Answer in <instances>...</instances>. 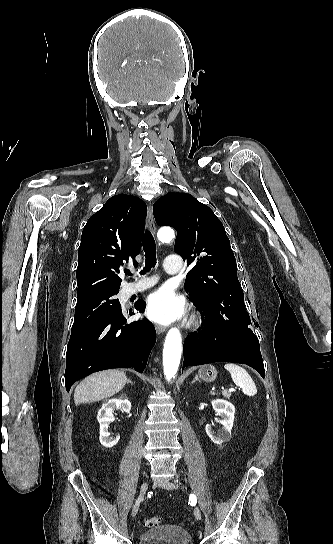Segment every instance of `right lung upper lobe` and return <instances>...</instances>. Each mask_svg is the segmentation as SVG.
<instances>
[{
  "label": "right lung upper lobe",
  "instance_id": "cb5924a9",
  "mask_svg": "<svg viewBox=\"0 0 333 544\" xmlns=\"http://www.w3.org/2000/svg\"><path fill=\"white\" fill-rule=\"evenodd\" d=\"M147 207L132 195H116L93 214L85 225L78 251L77 300L119 291L123 260L140 252Z\"/></svg>",
  "mask_w": 333,
  "mask_h": 544
}]
</instances>
